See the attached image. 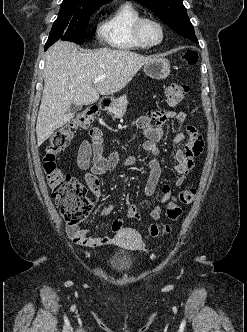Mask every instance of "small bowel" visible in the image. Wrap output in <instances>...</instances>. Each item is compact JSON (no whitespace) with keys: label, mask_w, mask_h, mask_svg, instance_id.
<instances>
[{"label":"small bowel","mask_w":247,"mask_h":332,"mask_svg":"<svg viewBox=\"0 0 247 332\" xmlns=\"http://www.w3.org/2000/svg\"><path fill=\"white\" fill-rule=\"evenodd\" d=\"M187 114L183 111L158 110L149 112L133 121L132 125L141 129L146 140L143 143V149L151 156L145 162V168L148 171V179L144 188L146 196H152L158 186L161 177V166L159 163L158 144L163 137V124L169 120L176 119L180 122L186 120ZM187 135L188 141L183 149L175 153L176 165L175 172L178 174L174 184L181 187L187 178L188 173L193 168L194 159L202 152L204 141L197 129L188 125L185 132L176 135V143L182 141ZM91 141H84L78 151L77 164L83 171L84 179L97 201H101L102 191L98 176L113 172L120 163V157L117 152H112L108 156L103 155V134L100 129L94 128L90 131ZM136 163L135 156H129L124 161L125 166H132ZM171 195V186L165 184L162 187L160 200L165 202ZM112 211V205L103 204L101 216H106ZM162 209L155 206L150 216L154 220L160 219ZM127 217L129 219H141V213L137 205L127 199ZM68 237L77 245L85 247H102L114 243V236H92L90 230L81 228L78 225H69L67 227Z\"/></svg>","instance_id":"1"}]
</instances>
